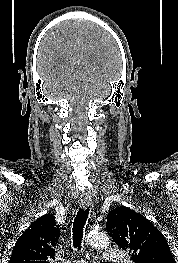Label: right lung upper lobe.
Masks as SVG:
<instances>
[{"instance_id":"cb5924a9","label":"right lung upper lobe","mask_w":178,"mask_h":263,"mask_svg":"<svg viewBox=\"0 0 178 263\" xmlns=\"http://www.w3.org/2000/svg\"><path fill=\"white\" fill-rule=\"evenodd\" d=\"M60 237V229L54 217L45 214L34 221L18 238L9 263H49L55 258L54 247Z\"/></svg>"}]
</instances>
